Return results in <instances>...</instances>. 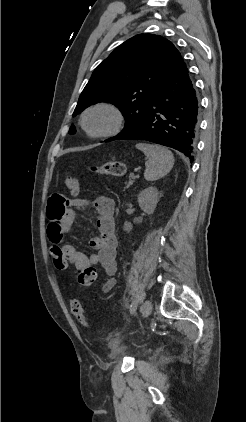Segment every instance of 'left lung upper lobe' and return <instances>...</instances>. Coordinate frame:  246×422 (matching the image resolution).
I'll use <instances>...</instances> for the list:
<instances>
[{
	"label": "left lung upper lobe",
	"instance_id": "obj_1",
	"mask_svg": "<svg viewBox=\"0 0 246 422\" xmlns=\"http://www.w3.org/2000/svg\"><path fill=\"white\" fill-rule=\"evenodd\" d=\"M182 60L172 42L162 36L139 34L118 46L94 70L73 116L99 102L115 105L125 118L118 137L143 118L151 99ZM72 125L69 133L74 134Z\"/></svg>",
	"mask_w": 246,
	"mask_h": 422
}]
</instances>
